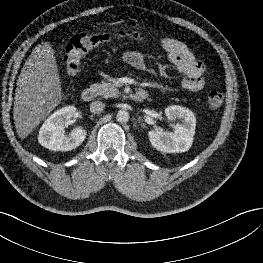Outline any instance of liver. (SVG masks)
<instances>
[{"label": "liver", "mask_w": 263, "mask_h": 263, "mask_svg": "<svg viewBox=\"0 0 263 263\" xmlns=\"http://www.w3.org/2000/svg\"><path fill=\"white\" fill-rule=\"evenodd\" d=\"M62 99L55 52L49 42L38 44L25 62L15 90L13 119L25 139Z\"/></svg>", "instance_id": "6515ba94"}]
</instances>
